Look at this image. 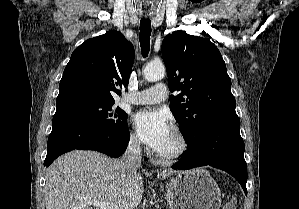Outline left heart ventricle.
<instances>
[{
	"label": "left heart ventricle",
	"instance_id": "left-heart-ventricle-1",
	"mask_svg": "<svg viewBox=\"0 0 299 209\" xmlns=\"http://www.w3.org/2000/svg\"><path fill=\"white\" fill-rule=\"evenodd\" d=\"M177 147V141L171 132L166 141L156 150L160 153H168L173 151Z\"/></svg>",
	"mask_w": 299,
	"mask_h": 209
}]
</instances>
